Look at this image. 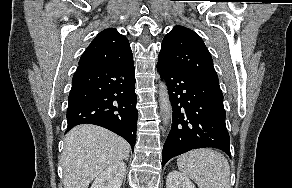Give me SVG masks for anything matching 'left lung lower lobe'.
Masks as SVG:
<instances>
[{
    "label": "left lung lower lobe",
    "instance_id": "obj_1",
    "mask_svg": "<svg viewBox=\"0 0 292 188\" xmlns=\"http://www.w3.org/2000/svg\"><path fill=\"white\" fill-rule=\"evenodd\" d=\"M166 79L173 109V124L162 152V166L191 149L214 147L230 156V138L219 84L208 82L158 60Z\"/></svg>",
    "mask_w": 292,
    "mask_h": 188
}]
</instances>
